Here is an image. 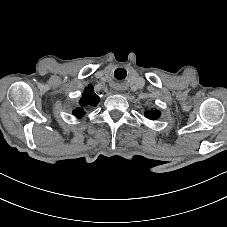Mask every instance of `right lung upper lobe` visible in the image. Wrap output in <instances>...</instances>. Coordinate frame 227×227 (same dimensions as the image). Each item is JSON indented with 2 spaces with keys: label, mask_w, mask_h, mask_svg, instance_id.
Returning <instances> with one entry per match:
<instances>
[{
  "label": "right lung upper lobe",
  "mask_w": 227,
  "mask_h": 227,
  "mask_svg": "<svg viewBox=\"0 0 227 227\" xmlns=\"http://www.w3.org/2000/svg\"><path fill=\"white\" fill-rule=\"evenodd\" d=\"M99 100L100 97L97 94H95L93 88L89 86L84 90L82 98L79 101L80 106L73 111V114L77 118H80L82 115L85 114L84 108L90 105L92 106L96 105L99 102Z\"/></svg>",
  "instance_id": "1"
}]
</instances>
